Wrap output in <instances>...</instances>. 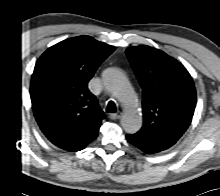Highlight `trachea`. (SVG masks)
Here are the masks:
<instances>
[{
	"mask_svg": "<svg viewBox=\"0 0 220 196\" xmlns=\"http://www.w3.org/2000/svg\"><path fill=\"white\" fill-rule=\"evenodd\" d=\"M106 111L109 112V113L116 112V106H115V103L113 101H110L108 103Z\"/></svg>",
	"mask_w": 220,
	"mask_h": 196,
	"instance_id": "3493384b",
	"label": "trachea"
}]
</instances>
